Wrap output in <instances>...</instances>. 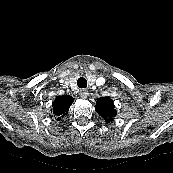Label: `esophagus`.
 <instances>
[{
    "label": "esophagus",
    "instance_id": "esophagus-1",
    "mask_svg": "<svg viewBox=\"0 0 173 173\" xmlns=\"http://www.w3.org/2000/svg\"><path fill=\"white\" fill-rule=\"evenodd\" d=\"M80 97L83 99L87 98L89 96V92L86 89H82L79 93Z\"/></svg>",
    "mask_w": 173,
    "mask_h": 173
}]
</instances>
